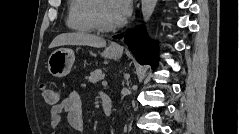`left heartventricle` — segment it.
<instances>
[{
  "label": "left heart ventricle",
  "instance_id": "left-heart-ventricle-1",
  "mask_svg": "<svg viewBox=\"0 0 239 134\" xmlns=\"http://www.w3.org/2000/svg\"><path fill=\"white\" fill-rule=\"evenodd\" d=\"M99 17L106 26H114L115 22L110 11V2L103 0L99 5Z\"/></svg>",
  "mask_w": 239,
  "mask_h": 134
}]
</instances>
